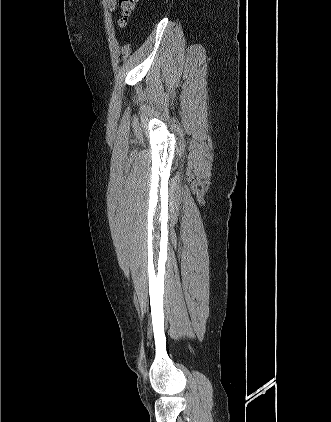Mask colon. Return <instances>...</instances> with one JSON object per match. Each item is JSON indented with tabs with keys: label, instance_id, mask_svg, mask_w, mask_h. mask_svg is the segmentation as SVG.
I'll return each instance as SVG.
<instances>
[{
	"label": "colon",
	"instance_id": "obj_1",
	"mask_svg": "<svg viewBox=\"0 0 331 422\" xmlns=\"http://www.w3.org/2000/svg\"><path fill=\"white\" fill-rule=\"evenodd\" d=\"M138 0H119L120 6V17L118 19V25L120 27H125L133 12L136 9V4Z\"/></svg>",
	"mask_w": 331,
	"mask_h": 422
}]
</instances>
